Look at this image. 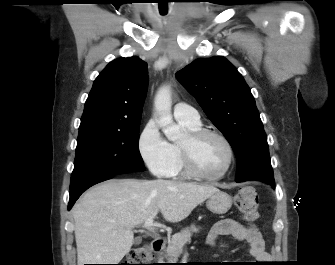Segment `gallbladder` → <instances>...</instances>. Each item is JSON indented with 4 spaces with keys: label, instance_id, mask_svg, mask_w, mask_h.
<instances>
[{
    "label": "gallbladder",
    "instance_id": "bac80fb5",
    "mask_svg": "<svg viewBox=\"0 0 335 265\" xmlns=\"http://www.w3.org/2000/svg\"><path fill=\"white\" fill-rule=\"evenodd\" d=\"M141 237H137L135 240H134V244L136 245H139L141 243Z\"/></svg>",
    "mask_w": 335,
    "mask_h": 265
}]
</instances>
